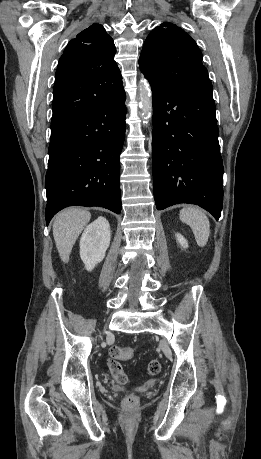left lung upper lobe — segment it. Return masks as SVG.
I'll return each instance as SVG.
<instances>
[{
  "label": "left lung upper lobe",
  "mask_w": 261,
  "mask_h": 459,
  "mask_svg": "<svg viewBox=\"0 0 261 459\" xmlns=\"http://www.w3.org/2000/svg\"><path fill=\"white\" fill-rule=\"evenodd\" d=\"M142 73L169 88L212 95L208 71L195 41L172 23H162L148 35L139 58Z\"/></svg>",
  "instance_id": "obj_1"
}]
</instances>
